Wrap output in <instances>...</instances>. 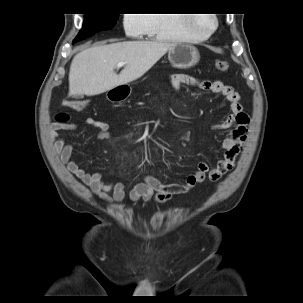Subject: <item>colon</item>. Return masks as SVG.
<instances>
[{
	"label": "colon",
	"instance_id": "1",
	"mask_svg": "<svg viewBox=\"0 0 303 303\" xmlns=\"http://www.w3.org/2000/svg\"><path fill=\"white\" fill-rule=\"evenodd\" d=\"M215 66L216 69L220 72H226L229 69V64L225 60L216 61ZM68 105L69 107L76 110H82L83 108H85V103L83 101H70ZM58 120L60 122H67L69 120V116L67 114H60Z\"/></svg>",
	"mask_w": 303,
	"mask_h": 303
}]
</instances>
